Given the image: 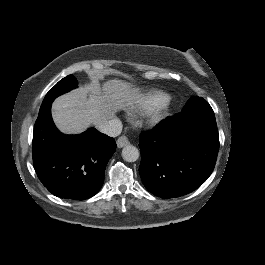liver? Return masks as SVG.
<instances>
[{
    "instance_id": "obj_1",
    "label": "liver",
    "mask_w": 265,
    "mask_h": 265,
    "mask_svg": "<svg viewBox=\"0 0 265 265\" xmlns=\"http://www.w3.org/2000/svg\"><path fill=\"white\" fill-rule=\"evenodd\" d=\"M143 97L144 92L127 80L110 78L99 83L90 76L89 82L54 99L51 117L62 135H77L90 127L98 129L122 111L138 108Z\"/></svg>"
}]
</instances>
